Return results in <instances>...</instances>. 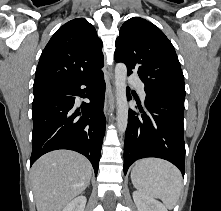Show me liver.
<instances>
[{
  "instance_id": "1",
  "label": "liver",
  "mask_w": 221,
  "mask_h": 211,
  "mask_svg": "<svg viewBox=\"0 0 221 211\" xmlns=\"http://www.w3.org/2000/svg\"><path fill=\"white\" fill-rule=\"evenodd\" d=\"M90 162L73 151L56 150L39 158L31 169L37 211H62L89 185Z\"/></svg>"
}]
</instances>
